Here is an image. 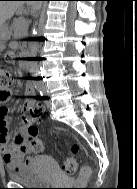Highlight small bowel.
I'll return each mask as SVG.
<instances>
[{
  "instance_id": "obj_1",
  "label": "small bowel",
  "mask_w": 137,
  "mask_h": 189,
  "mask_svg": "<svg viewBox=\"0 0 137 189\" xmlns=\"http://www.w3.org/2000/svg\"><path fill=\"white\" fill-rule=\"evenodd\" d=\"M35 90L32 84H27L26 95L32 96ZM7 99H0V149L3 161L9 170H17L31 164L30 150L24 145L25 131L32 121L23 116V126L13 136L9 133V110L2 106ZM34 104L33 100L26 102V107Z\"/></svg>"
}]
</instances>
